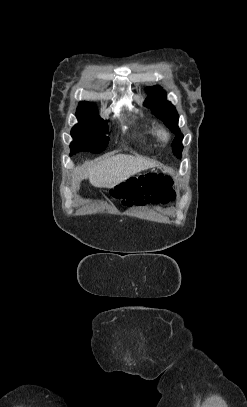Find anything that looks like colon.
<instances>
[{"instance_id": "colon-1", "label": "colon", "mask_w": 247, "mask_h": 407, "mask_svg": "<svg viewBox=\"0 0 247 407\" xmlns=\"http://www.w3.org/2000/svg\"><path fill=\"white\" fill-rule=\"evenodd\" d=\"M111 194L129 207L143 206L148 203H168L175 198L173 180L163 174L132 178L116 186Z\"/></svg>"}]
</instances>
